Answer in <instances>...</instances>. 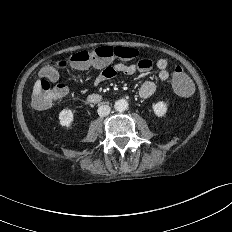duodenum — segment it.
<instances>
[{"mask_svg": "<svg viewBox=\"0 0 232 232\" xmlns=\"http://www.w3.org/2000/svg\"><path fill=\"white\" fill-rule=\"evenodd\" d=\"M87 100L92 103L99 102L101 100V96L98 94H91L87 97Z\"/></svg>", "mask_w": 232, "mask_h": 232, "instance_id": "410a0bca", "label": "duodenum"}]
</instances>
